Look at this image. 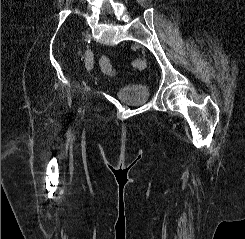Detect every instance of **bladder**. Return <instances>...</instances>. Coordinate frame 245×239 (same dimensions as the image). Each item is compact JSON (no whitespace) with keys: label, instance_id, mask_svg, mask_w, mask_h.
Wrapping results in <instances>:
<instances>
[{"label":"bladder","instance_id":"31cf9c89","mask_svg":"<svg viewBox=\"0 0 245 239\" xmlns=\"http://www.w3.org/2000/svg\"><path fill=\"white\" fill-rule=\"evenodd\" d=\"M115 96L127 105H140L149 101L150 89L142 83H130L118 86Z\"/></svg>","mask_w":245,"mask_h":239}]
</instances>
